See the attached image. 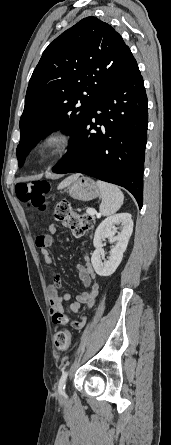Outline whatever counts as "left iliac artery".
I'll use <instances>...</instances> for the list:
<instances>
[{
	"mask_svg": "<svg viewBox=\"0 0 171 445\" xmlns=\"http://www.w3.org/2000/svg\"><path fill=\"white\" fill-rule=\"evenodd\" d=\"M68 376V371L63 372L60 380H59V385H58V390L59 391H63L65 388V383H66V379Z\"/></svg>",
	"mask_w": 171,
	"mask_h": 445,
	"instance_id": "1",
	"label": "left iliac artery"
}]
</instances>
